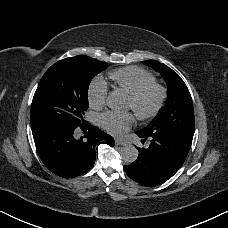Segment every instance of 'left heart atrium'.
I'll use <instances>...</instances> for the list:
<instances>
[{
    "mask_svg": "<svg viewBox=\"0 0 228 228\" xmlns=\"http://www.w3.org/2000/svg\"><path fill=\"white\" fill-rule=\"evenodd\" d=\"M103 128L112 134H119L132 127V116L129 113L107 112L100 116Z\"/></svg>",
    "mask_w": 228,
    "mask_h": 228,
    "instance_id": "obj_1",
    "label": "left heart atrium"
}]
</instances>
